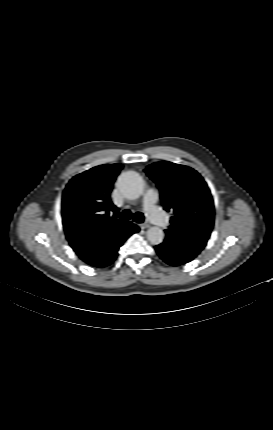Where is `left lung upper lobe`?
<instances>
[{"mask_svg":"<svg viewBox=\"0 0 273 430\" xmlns=\"http://www.w3.org/2000/svg\"><path fill=\"white\" fill-rule=\"evenodd\" d=\"M160 189L164 209L173 216L166 235L178 252L194 259L204 249L214 225V204L207 184L194 169L156 162L145 169Z\"/></svg>","mask_w":273,"mask_h":430,"instance_id":"left-lung-upper-lobe-1","label":"left lung upper lobe"}]
</instances>
